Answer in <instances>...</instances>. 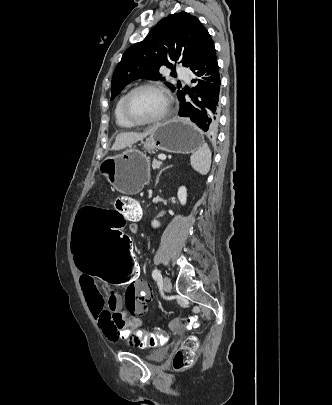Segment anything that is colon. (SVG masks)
<instances>
[{
	"label": "colon",
	"mask_w": 332,
	"mask_h": 405,
	"mask_svg": "<svg viewBox=\"0 0 332 405\" xmlns=\"http://www.w3.org/2000/svg\"><path fill=\"white\" fill-rule=\"evenodd\" d=\"M115 208L110 205H97L87 202L79 211V220H73L74 257L82 275H97L98 281H109L110 287H130L137 281L139 266L134 259V234L126 233L124 220L140 210V204L131 196L121 195L116 199ZM162 317L160 310L146 318L148 325H155ZM188 327L206 324V315L188 316L182 319ZM168 325H156L152 331L120 329L118 336L123 342H133L140 351H159L160 345L168 340ZM199 342L194 336L185 339L175 352L173 366L181 370L190 366L198 349Z\"/></svg>",
	"instance_id": "5ec220e1"
}]
</instances>
